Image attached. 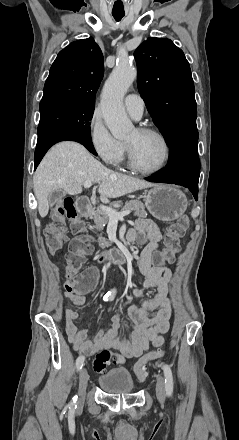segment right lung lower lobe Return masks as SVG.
Listing matches in <instances>:
<instances>
[{"mask_svg": "<svg viewBox=\"0 0 239 440\" xmlns=\"http://www.w3.org/2000/svg\"><path fill=\"white\" fill-rule=\"evenodd\" d=\"M64 140H72L84 145L91 153L97 155L91 136L76 129L58 128L52 129L38 135L37 146L34 155L35 169L48 149L57 142Z\"/></svg>", "mask_w": 239, "mask_h": 440, "instance_id": "obj_1", "label": "right lung lower lobe"}]
</instances>
